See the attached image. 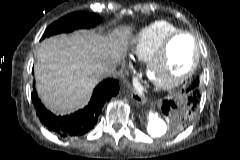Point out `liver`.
I'll return each instance as SVG.
<instances>
[{"mask_svg":"<svg viewBox=\"0 0 240 160\" xmlns=\"http://www.w3.org/2000/svg\"><path fill=\"white\" fill-rule=\"evenodd\" d=\"M130 33V27L108 36L79 30L43 40L34 67L37 93L43 104L61 115L85 105L102 78L101 71L123 58V45Z\"/></svg>","mask_w":240,"mask_h":160,"instance_id":"liver-1","label":"liver"}]
</instances>
